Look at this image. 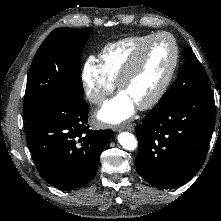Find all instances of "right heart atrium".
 I'll use <instances>...</instances> for the list:
<instances>
[{
  "mask_svg": "<svg viewBox=\"0 0 221 221\" xmlns=\"http://www.w3.org/2000/svg\"><path fill=\"white\" fill-rule=\"evenodd\" d=\"M82 81L87 99L95 105L103 104L115 88V83L93 57L87 58L83 64Z\"/></svg>",
  "mask_w": 221,
  "mask_h": 221,
  "instance_id": "d8ad5b80",
  "label": "right heart atrium"
}]
</instances>
